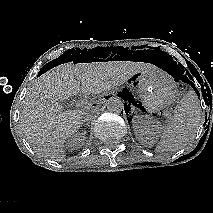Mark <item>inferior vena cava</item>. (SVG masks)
Listing matches in <instances>:
<instances>
[{
    "mask_svg": "<svg viewBox=\"0 0 213 213\" xmlns=\"http://www.w3.org/2000/svg\"><path fill=\"white\" fill-rule=\"evenodd\" d=\"M96 108L92 106L91 104H87L84 107V112H83V121H90L92 118L95 117L96 113Z\"/></svg>",
    "mask_w": 213,
    "mask_h": 213,
    "instance_id": "602c4592",
    "label": "inferior vena cava"
}]
</instances>
